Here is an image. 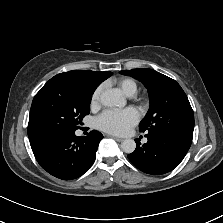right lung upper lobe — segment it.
<instances>
[{"mask_svg": "<svg viewBox=\"0 0 223 223\" xmlns=\"http://www.w3.org/2000/svg\"><path fill=\"white\" fill-rule=\"evenodd\" d=\"M111 75L112 72L106 71L72 70L55 75L46 84L81 94H93L97 86Z\"/></svg>", "mask_w": 223, "mask_h": 223, "instance_id": "1", "label": "right lung upper lobe"}]
</instances>
